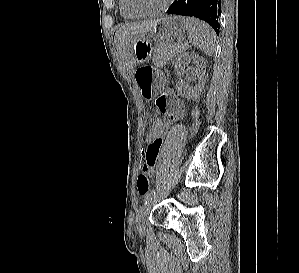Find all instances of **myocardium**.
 Returning <instances> with one entry per match:
<instances>
[{
    "instance_id": "1",
    "label": "myocardium",
    "mask_w": 299,
    "mask_h": 273,
    "mask_svg": "<svg viewBox=\"0 0 299 273\" xmlns=\"http://www.w3.org/2000/svg\"><path fill=\"white\" fill-rule=\"evenodd\" d=\"M122 1L125 10L135 17H148V16L158 15L163 11H165L171 2V0H164L163 3L156 9L149 10V11H138L130 5L129 0H122Z\"/></svg>"
}]
</instances>
